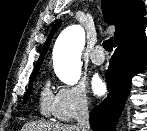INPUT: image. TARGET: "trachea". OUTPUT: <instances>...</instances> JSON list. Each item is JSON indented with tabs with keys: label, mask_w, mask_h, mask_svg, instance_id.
Segmentation results:
<instances>
[{
	"label": "trachea",
	"mask_w": 147,
	"mask_h": 131,
	"mask_svg": "<svg viewBox=\"0 0 147 131\" xmlns=\"http://www.w3.org/2000/svg\"><path fill=\"white\" fill-rule=\"evenodd\" d=\"M102 45L106 51H109V52L112 51L113 50V38L110 37L109 39L105 40Z\"/></svg>",
	"instance_id": "trachea-1"
}]
</instances>
